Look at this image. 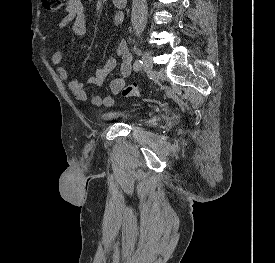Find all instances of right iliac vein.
I'll use <instances>...</instances> for the list:
<instances>
[{
	"mask_svg": "<svg viewBox=\"0 0 275 263\" xmlns=\"http://www.w3.org/2000/svg\"><path fill=\"white\" fill-rule=\"evenodd\" d=\"M142 59H143V62H144V64H143L144 70H145L146 72H150L151 69H152V66H153L152 56H151V54H150L147 50H145V49H143V51H142Z\"/></svg>",
	"mask_w": 275,
	"mask_h": 263,
	"instance_id": "right-iliac-vein-1",
	"label": "right iliac vein"
}]
</instances>
